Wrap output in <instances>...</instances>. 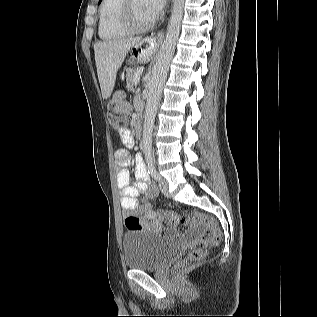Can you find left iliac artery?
<instances>
[{
  "instance_id": "obj_1",
  "label": "left iliac artery",
  "mask_w": 317,
  "mask_h": 317,
  "mask_svg": "<svg viewBox=\"0 0 317 317\" xmlns=\"http://www.w3.org/2000/svg\"><path fill=\"white\" fill-rule=\"evenodd\" d=\"M148 172L156 181H159L161 179L158 171L155 169L154 166L150 167Z\"/></svg>"
}]
</instances>
